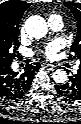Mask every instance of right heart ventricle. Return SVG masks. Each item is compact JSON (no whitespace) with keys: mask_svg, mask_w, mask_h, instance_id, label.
Returning <instances> with one entry per match:
<instances>
[{"mask_svg":"<svg viewBox=\"0 0 81 124\" xmlns=\"http://www.w3.org/2000/svg\"><path fill=\"white\" fill-rule=\"evenodd\" d=\"M57 16L61 17L59 14H57L56 12L53 11V12L49 15V18L57 17Z\"/></svg>","mask_w":81,"mask_h":124,"instance_id":"e07e8e85","label":"right heart ventricle"}]
</instances>
